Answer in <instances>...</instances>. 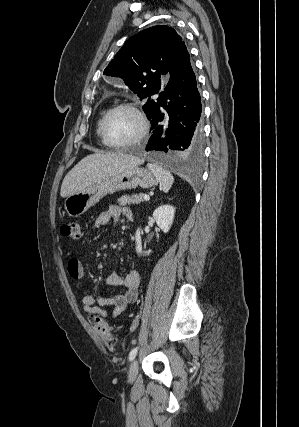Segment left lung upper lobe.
<instances>
[{
  "mask_svg": "<svg viewBox=\"0 0 299 427\" xmlns=\"http://www.w3.org/2000/svg\"><path fill=\"white\" fill-rule=\"evenodd\" d=\"M182 38L171 27L157 25L145 29L125 42L104 70V75L120 77L146 103L143 110L150 119L162 76L169 70Z\"/></svg>",
  "mask_w": 299,
  "mask_h": 427,
  "instance_id": "left-lung-upper-lobe-1",
  "label": "left lung upper lobe"
}]
</instances>
